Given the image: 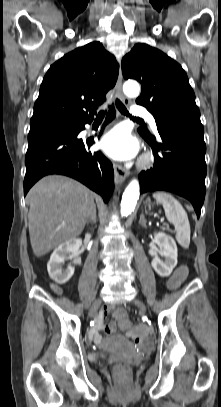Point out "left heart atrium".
<instances>
[{
  "label": "left heart atrium",
  "instance_id": "obj_1",
  "mask_svg": "<svg viewBox=\"0 0 221 407\" xmlns=\"http://www.w3.org/2000/svg\"><path fill=\"white\" fill-rule=\"evenodd\" d=\"M100 149L116 160H129L138 152V142L123 126H117L103 136Z\"/></svg>",
  "mask_w": 221,
  "mask_h": 407
}]
</instances>
